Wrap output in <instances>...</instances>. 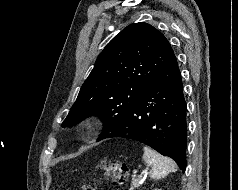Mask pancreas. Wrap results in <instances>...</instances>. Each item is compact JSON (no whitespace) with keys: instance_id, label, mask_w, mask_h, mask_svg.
I'll list each match as a JSON object with an SVG mask.
<instances>
[{"instance_id":"pancreas-1","label":"pancreas","mask_w":238,"mask_h":190,"mask_svg":"<svg viewBox=\"0 0 238 190\" xmlns=\"http://www.w3.org/2000/svg\"><path fill=\"white\" fill-rule=\"evenodd\" d=\"M142 183L141 178H134L132 179L131 187L129 190H134L135 188H138Z\"/></svg>"}]
</instances>
